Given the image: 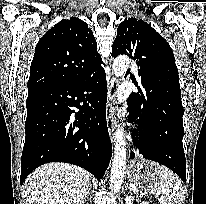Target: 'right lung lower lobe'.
<instances>
[{
	"label": "right lung lower lobe",
	"mask_w": 206,
	"mask_h": 204,
	"mask_svg": "<svg viewBox=\"0 0 206 204\" xmlns=\"http://www.w3.org/2000/svg\"><path fill=\"white\" fill-rule=\"evenodd\" d=\"M105 76L100 67L75 84L28 93L21 184L48 162L78 165L97 179L104 175L112 155Z\"/></svg>",
	"instance_id": "right-lung-lower-lobe-1"
}]
</instances>
